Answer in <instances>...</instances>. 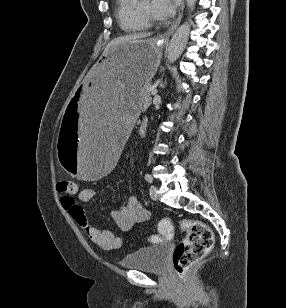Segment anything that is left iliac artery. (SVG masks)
Instances as JSON below:
<instances>
[{
  "mask_svg": "<svg viewBox=\"0 0 286 308\" xmlns=\"http://www.w3.org/2000/svg\"><path fill=\"white\" fill-rule=\"evenodd\" d=\"M145 180L148 182V183H152L153 182V178L150 174H145L144 176Z\"/></svg>",
  "mask_w": 286,
  "mask_h": 308,
  "instance_id": "1",
  "label": "left iliac artery"
}]
</instances>
